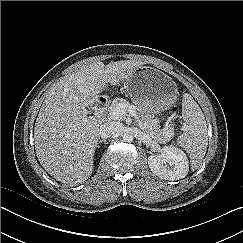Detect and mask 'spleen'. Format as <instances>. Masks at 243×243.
Here are the masks:
<instances>
[{"mask_svg": "<svg viewBox=\"0 0 243 243\" xmlns=\"http://www.w3.org/2000/svg\"><path fill=\"white\" fill-rule=\"evenodd\" d=\"M182 116L185 126L183 134L178 138V144L189 154L191 169L196 170L207 151V124L201 108L188 93L183 95Z\"/></svg>", "mask_w": 243, "mask_h": 243, "instance_id": "3e777b00", "label": "spleen"}]
</instances>
